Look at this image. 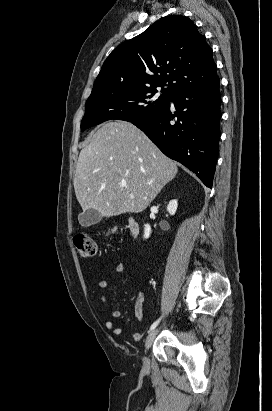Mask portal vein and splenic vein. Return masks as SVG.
Listing matches in <instances>:
<instances>
[{"instance_id":"portal-vein-and-splenic-vein-1","label":"portal vein and splenic vein","mask_w":272,"mask_h":411,"mask_svg":"<svg viewBox=\"0 0 272 411\" xmlns=\"http://www.w3.org/2000/svg\"><path fill=\"white\" fill-rule=\"evenodd\" d=\"M121 185H122L123 187H125V186L127 185V183H126L125 181H123V182H121Z\"/></svg>"}]
</instances>
